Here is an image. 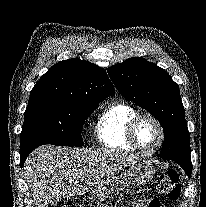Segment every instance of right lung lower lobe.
<instances>
[{"label": "right lung lower lobe", "mask_w": 206, "mask_h": 207, "mask_svg": "<svg viewBox=\"0 0 206 207\" xmlns=\"http://www.w3.org/2000/svg\"><path fill=\"white\" fill-rule=\"evenodd\" d=\"M30 152H24V153H20V166L23 165L25 159L27 158V156L29 155Z\"/></svg>", "instance_id": "right-lung-lower-lobe-1"}]
</instances>
